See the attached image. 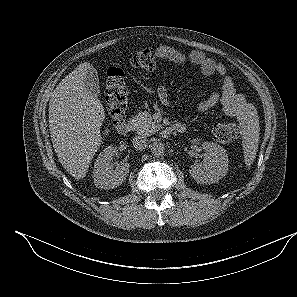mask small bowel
Returning <instances> with one entry per match:
<instances>
[{
	"label": "small bowel",
	"instance_id": "obj_1",
	"mask_svg": "<svg viewBox=\"0 0 297 297\" xmlns=\"http://www.w3.org/2000/svg\"><path fill=\"white\" fill-rule=\"evenodd\" d=\"M156 53L161 60L171 64L182 66L191 63L197 66L204 76H219L221 93H213L200 102L197 106L198 111L205 112L219 105L227 116L237 118L241 115L246 107V100L242 94L236 92L233 80L222 63L216 62L201 51L186 53L169 45L158 46ZM157 96L163 105H170L168 90L164 85L158 87Z\"/></svg>",
	"mask_w": 297,
	"mask_h": 297
}]
</instances>
